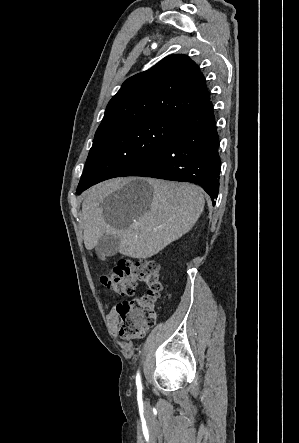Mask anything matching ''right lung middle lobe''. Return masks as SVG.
Masks as SVG:
<instances>
[{"label":"right lung middle lobe","instance_id":"1","mask_svg":"<svg viewBox=\"0 0 299 443\" xmlns=\"http://www.w3.org/2000/svg\"><path fill=\"white\" fill-rule=\"evenodd\" d=\"M179 120L144 118L94 138L77 194L122 176L155 153L176 131Z\"/></svg>","mask_w":299,"mask_h":443}]
</instances>
